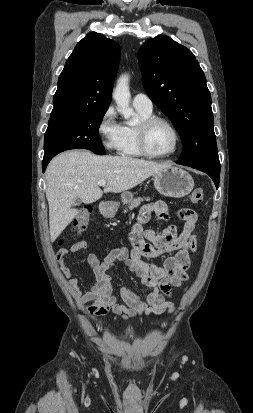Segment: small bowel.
Returning <instances> with one entry per match:
<instances>
[{"label":"small bowel","mask_w":253,"mask_h":413,"mask_svg":"<svg viewBox=\"0 0 253 413\" xmlns=\"http://www.w3.org/2000/svg\"><path fill=\"white\" fill-rule=\"evenodd\" d=\"M152 215L159 220L168 221L170 213L167 204L156 201L141 208L130 233L132 244L130 251L125 247L112 249L104 260H100L94 253L87 255L86 263L92 269L95 281L86 292L80 291L79 280L66 263V257L69 253L86 250L88 244L79 241L69 248L59 249L56 253L60 270L68 278V283L72 286L78 301L81 304L91 303L86 310L91 319L96 320L97 317L109 312L121 315L124 320H127L141 315H162L174 310V304L169 300L171 290L173 287H180L187 280L190 253H194L197 248L195 235L197 214L190 208L180 209L178 216L184 222L182 230L178 232L177 227L170 224L161 234H156L151 228L147 230L142 228ZM171 253L173 254L166 257L161 264L153 262L154 259ZM118 262L140 278L143 286L151 289L146 296L133 292L127 287H121L119 296L123 303L117 302L109 273Z\"/></svg>","instance_id":"1"}]
</instances>
